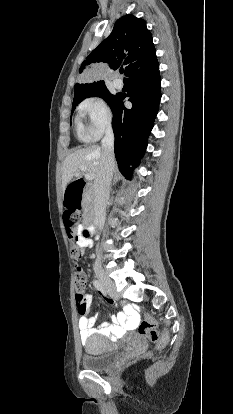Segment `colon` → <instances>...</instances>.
I'll list each match as a JSON object with an SVG mask.
<instances>
[{
	"mask_svg": "<svg viewBox=\"0 0 233 414\" xmlns=\"http://www.w3.org/2000/svg\"><path fill=\"white\" fill-rule=\"evenodd\" d=\"M80 220L79 212H69L66 210L64 221L67 227V233L71 239L70 254L76 261L81 259L83 256V248L77 243V236L75 235V227ZM87 284V278L82 268L80 267V274H75L74 285H75V302L78 307L83 304L85 298V288ZM79 312V311H78ZM138 331L142 336H145L152 342L156 343L158 349H161L166 344V338L160 336L156 329V322L151 315H147L145 320L139 325Z\"/></svg>",
	"mask_w": 233,
	"mask_h": 414,
	"instance_id": "1",
	"label": "colon"
}]
</instances>
